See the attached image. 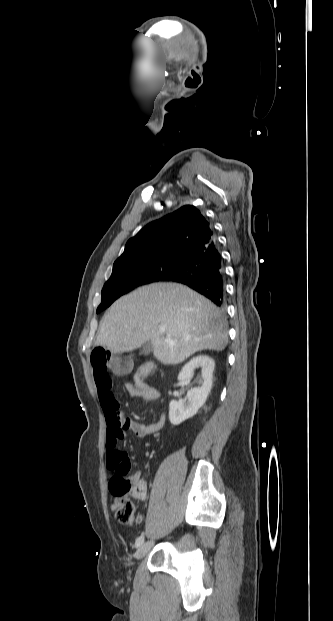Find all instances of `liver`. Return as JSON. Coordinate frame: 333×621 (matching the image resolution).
Instances as JSON below:
<instances>
[{
  "instance_id": "liver-1",
  "label": "liver",
  "mask_w": 333,
  "mask_h": 621,
  "mask_svg": "<svg viewBox=\"0 0 333 621\" xmlns=\"http://www.w3.org/2000/svg\"><path fill=\"white\" fill-rule=\"evenodd\" d=\"M148 341L157 360L178 364L200 350H224L228 333L220 310L209 300L181 284L155 283L110 307L95 345L122 354Z\"/></svg>"
}]
</instances>
